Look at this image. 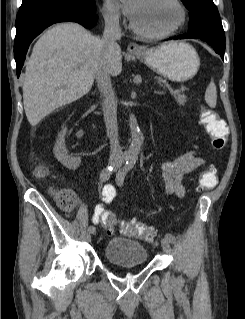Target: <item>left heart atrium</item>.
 <instances>
[{
    "label": "left heart atrium",
    "instance_id": "1",
    "mask_svg": "<svg viewBox=\"0 0 245 319\" xmlns=\"http://www.w3.org/2000/svg\"><path fill=\"white\" fill-rule=\"evenodd\" d=\"M114 3L122 7L126 15L133 19L138 11L141 0H113Z\"/></svg>",
    "mask_w": 245,
    "mask_h": 319
}]
</instances>
